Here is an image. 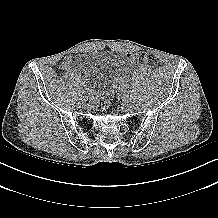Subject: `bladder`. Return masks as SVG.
I'll use <instances>...</instances> for the list:
<instances>
[{
	"instance_id": "obj_1",
	"label": "bladder",
	"mask_w": 218,
	"mask_h": 218,
	"mask_svg": "<svg viewBox=\"0 0 218 218\" xmlns=\"http://www.w3.org/2000/svg\"><path fill=\"white\" fill-rule=\"evenodd\" d=\"M79 61L92 93L103 92L118 81L119 61L114 53H86Z\"/></svg>"
}]
</instances>
